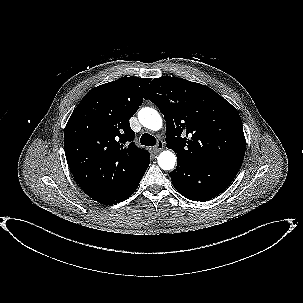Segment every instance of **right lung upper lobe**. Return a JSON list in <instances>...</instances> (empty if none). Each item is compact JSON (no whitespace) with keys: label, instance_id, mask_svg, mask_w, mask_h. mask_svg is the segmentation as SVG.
I'll return each mask as SVG.
<instances>
[{"label":"right lung upper lobe","instance_id":"obj_1","mask_svg":"<svg viewBox=\"0 0 303 303\" xmlns=\"http://www.w3.org/2000/svg\"><path fill=\"white\" fill-rule=\"evenodd\" d=\"M151 79L122 77L91 89L64 131L65 155L82 190L101 201L129 185L150 163L135 146L129 119Z\"/></svg>","mask_w":303,"mask_h":303}]
</instances>
